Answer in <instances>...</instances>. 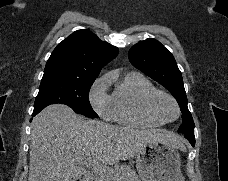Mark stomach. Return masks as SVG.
<instances>
[{
  "label": "stomach",
  "mask_w": 228,
  "mask_h": 181,
  "mask_svg": "<svg viewBox=\"0 0 228 181\" xmlns=\"http://www.w3.org/2000/svg\"><path fill=\"white\" fill-rule=\"evenodd\" d=\"M136 169L141 181H184L177 147L152 141L136 153Z\"/></svg>",
  "instance_id": "stomach-1"
}]
</instances>
